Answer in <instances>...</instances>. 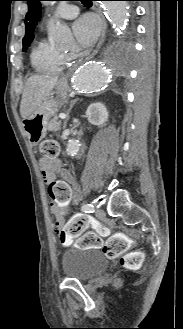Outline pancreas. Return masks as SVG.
Segmentation results:
<instances>
[{
  "label": "pancreas",
  "instance_id": "pancreas-1",
  "mask_svg": "<svg viewBox=\"0 0 183 329\" xmlns=\"http://www.w3.org/2000/svg\"><path fill=\"white\" fill-rule=\"evenodd\" d=\"M48 130L52 132H58L61 130V121L57 117H54L48 123Z\"/></svg>",
  "mask_w": 183,
  "mask_h": 329
}]
</instances>
